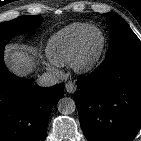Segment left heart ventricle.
Wrapping results in <instances>:
<instances>
[{
    "mask_svg": "<svg viewBox=\"0 0 141 141\" xmlns=\"http://www.w3.org/2000/svg\"><path fill=\"white\" fill-rule=\"evenodd\" d=\"M101 35L98 32L90 34L87 41V55L90 57L94 55L101 45Z\"/></svg>",
    "mask_w": 141,
    "mask_h": 141,
    "instance_id": "left-heart-ventricle-1",
    "label": "left heart ventricle"
}]
</instances>
